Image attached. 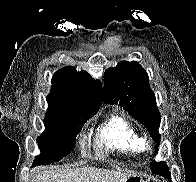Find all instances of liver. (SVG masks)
Instances as JSON below:
<instances>
[{"instance_id":"obj_1","label":"liver","mask_w":196,"mask_h":182,"mask_svg":"<svg viewBox=\"0 0 196 182\" xmlns=\"http://www.w3.org/2000/svg\"><path fill=\"white\" fill-rule=\"evenodd\" d=\"M130 176L131 173L95 167L50 168L38 172L31 182H125Z\"/></svg>"}]
</instances>
